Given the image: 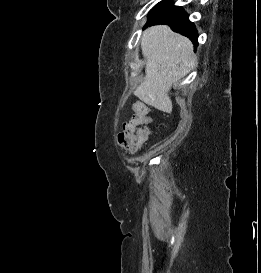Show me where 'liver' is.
I'll return each instance as SVG.
<instances>
[{
    "label": "liver",
    "instance_id": "6515ba94",
    "mask_svg": "<svg viewBox=\"0 0 261 273\" xmlns=\"http://www.w3.org/2000/svg\"><path fill=\"white\" fill-rule=\"evenodd\" d=\"M145 58V78L135 95L144 103L165 113L172 112L169 91L197 65L192 42L168 26L147 28L141 37Z\"/></svg>",
    "mask_w": 261,
    "mask_h": 273
}]
</instances>
